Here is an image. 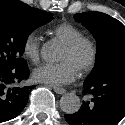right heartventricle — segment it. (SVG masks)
I'll list each match as a JSON object with an SVG mask.
<instances>
[{
  "mask_svg": "<svg viewBox=\"0 0 125 125\" xmlns=\"http://www.w3.org/2000/svg\"><path fill=\"white\" fill-rule=\"evenodd\" d=\"M52 33L63 43H68L80 36H82V32L68 23H62L57 25L53 30Z\"/></svg>",
  "mask_w": 125,
  "mask_h": 125,
  "instance_id": "1",
  "label": "right heart ventricle"
}]
</instances>
